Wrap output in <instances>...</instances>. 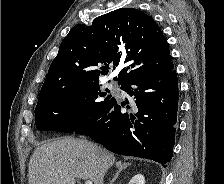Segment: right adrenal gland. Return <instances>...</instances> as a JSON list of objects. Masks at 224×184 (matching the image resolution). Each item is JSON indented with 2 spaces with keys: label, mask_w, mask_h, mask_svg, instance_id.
<instances>
[{
  "label": "right adrenal gland",
  "mask_w": 224,
  "mask_h": 184,
  "mask_svg": "<svg viewBox=\"0 0 224 184\" xmlns=\"http://www.w3.org/2000/svg\"><path fill=\"white\" fill-rule=\"evenodd\" d=\"M116 167H118V171L116 172L115 176L113 177V179L111 180L110 184H113L114 181L118 178L119 174L121 173V171L123 169H125L126 167L130 166L131 163H127V162H124L122 163L121 161H118L116 162Z\"/></svg>",
  "instance_id": "obj_1"
}]
</instances>
